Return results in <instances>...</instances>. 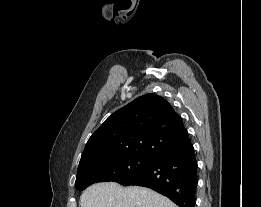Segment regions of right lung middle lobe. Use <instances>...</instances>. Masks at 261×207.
Instances as JSON below:
<instances>
[{
    "instance_id": "right-lung-middle-lobe-1",
    "label": "right lung middle lobe",
    "mask_w": 261,
    "mask_h": 207,
    "mask_svg": "<svg viewBox=\"0 0 261 207\" xmlns=\"http://www.w3.org/2000/svg\"><path fill=\"white\" fill-rule=\"evenodd\" d=\"M153 161L149 156L130 155L91 163L78 168L75 186L82 191L98 182H120L149 167Z\"/></svg>"
}]
</instances>
